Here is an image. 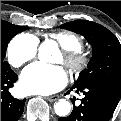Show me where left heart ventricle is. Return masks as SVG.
Returning a JSON list of instances; mask_svg holds the SVG:
<instances>
[{
  "label": "left heart ventricle",
  "instance_id": "b2bd125f",
  "mask_svg": "<svg viewBox=\"0 0 121 121\" xmlns=\"http://www.w3.org/2000/svg\"><path fill=\"white\" fill-rule=\"evenodd\" d=\"M55 62H56V63H61V62H62V55H61V54H59V55L56 57Z\"/></svg>",
  "mask_w": 121,
  "mask_h": 121
}]
</instances>
